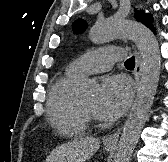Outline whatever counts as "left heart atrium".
I'll return each mask as SVG.
<instances>
[{"label": "left heart atrium", "mask_w": 168, "mask_h": 162, "mask_svg": "<svg viewBox=\"0 0 168 162\" xmlns=\"http://www.w3.org/2000/svg\"><path fill=\"white\" fill-rule=\"evenodd\" d=\"M133 95L130 81L120 75L103 79L96 104V115L104 120H114L124 113Z\"/></svg>", "instance_id": "1"}]
</instances>
